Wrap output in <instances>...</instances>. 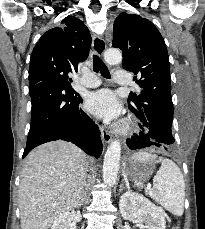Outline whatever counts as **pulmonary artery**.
Here are the masks:
<instances>
[{
    "mask_svg": "<svg viewBox=\"0 0 205 229\" xmlns=\"http://www.w3.org/2000/svg\"><path fill=\"white\" fill-rule=\"evenodd\" d=\"M114 81L119 85H127L130 83V76L126 70L118 69L114 73ZM81 84L86 87H96L100 85V80L92 73H85L81 78Z\"/></svg>",
    "mask_w": 205,
    "mask_h": 229,
    "instance_id": "1",
    "label": "pulmonary artery"
}]
</instances>
